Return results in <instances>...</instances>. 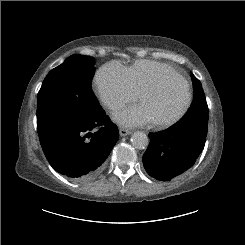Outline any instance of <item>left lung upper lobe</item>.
<instances>
[{
    "label": "left lung upper lobe",
    "instance_id": "1",
    "mask_svg": "<svg viewBox=\"0 0 245 245\" xmlns=\"http://www.w3.org/2000/svg\"><path fill=\"white\" fill-rule=\"evenodd\" d=\"M191 78L194 89L193 102L186 115L171 128L195 130L206 136L209 111L205 94L200 81L192 73Z\"/></svg>",
    "mask_w": 245,
    "mask_h": 245
}]
</instances>
